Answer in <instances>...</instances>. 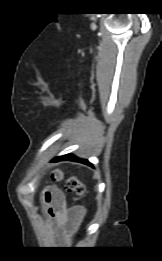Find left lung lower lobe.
Listing matches in <instances>:
<instances>
[{
	"mask_svg": "<svg viewBox=\"0 0 162 261\" xmlns=\"http://www.w3.org/2000/svg\"><path fill=\"white\" fill-rule=\"evenodd\" d=\"M62 160L77 161V162H81V163L92 166V164H90L87 160L79 159L72 154H67V155L60 156V157H57V158L54 159V161H62Z\"/></svg>",
	"mask_w": 162,
	"mask_h": 261,
	"instance_id": "obj_1",
	"label": "left lung lower lobe"
}]
</instances>
